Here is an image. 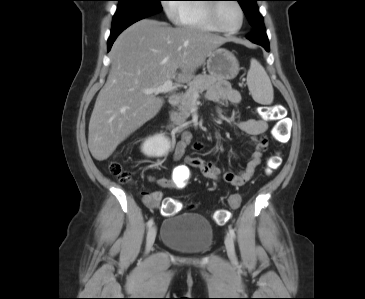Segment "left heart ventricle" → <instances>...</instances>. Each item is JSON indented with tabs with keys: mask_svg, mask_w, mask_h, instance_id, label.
<instances>
[{
	"mask_svg": "<svg viewBox=\"0 0 365 299\" xmlns=\"http://www.w3.org/2000/svg\"><path fill=\"white\" fill-rule=\"evenodd\" d=\"M217 17L219 25L227 29H235L241 23L240 11L233 2L222 3Z\"/></svg>",
	"mask_w": 365,
	"mask_h": 299,
	"instance_id": "b2bd125f",
	"label": "left heart ventricle"
}]
</instances>
